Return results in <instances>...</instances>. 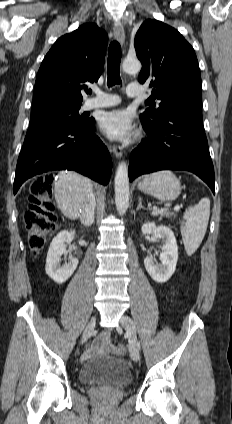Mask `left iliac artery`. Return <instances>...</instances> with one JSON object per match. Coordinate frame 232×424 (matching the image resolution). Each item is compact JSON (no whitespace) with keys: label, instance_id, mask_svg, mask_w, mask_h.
<instances>
[{"label":"left iliac artery","instance_id":"44dca946","mask_svg":"<svg viewBox=\"0 0 232 424\" xmlns=\"http://www.w3.org/2000/svg\"><path fill=\"white\" fill-rule=\"evenodd\" d=\"M137 345H138V347L140 348V343H139V342L137 343Z\"/></svg>","mask_w":232,"mask_h":424}]
</instances>
